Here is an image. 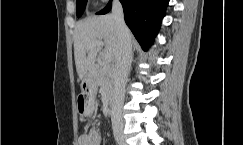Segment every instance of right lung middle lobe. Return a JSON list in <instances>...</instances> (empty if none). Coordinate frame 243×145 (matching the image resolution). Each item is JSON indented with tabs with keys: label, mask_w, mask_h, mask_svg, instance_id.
<instances>
[{
	"label": "right lung middle lobe",
	"mask_w": 243,
	"mask_h": 145,
	"mask_svg": "<svg viewBox=\"0 0 243 145\" xmlns=\"http://www.w3.org/2000/svg\"><path fill=\"white\" fill-rule=\"evenodd\" d=\"M87 0H76V14L77 17H80L85 9Z\"/></svg>",
	"instance_id": "obj_1"
}]
</instances>
